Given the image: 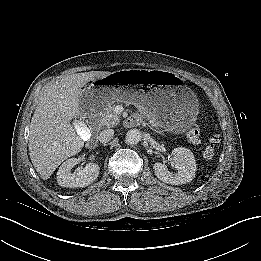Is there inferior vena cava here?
Here are the masks:
<instances>
[{"label": "inferior vena cava", "instance_id": "obj_1", "mask_svg": "<svg viewBox=\"0 0 261 261\" xmlns=\"http://www.w3.org/2000/svg\"><path fill=\"white\" fill-rule=\"evenodd\" d=\"M114 137V130L112 129H105L99 134V141L101 143H107Z\"/></svg>", "mask_w": 261, "mask_h": 261}]
</instances>
